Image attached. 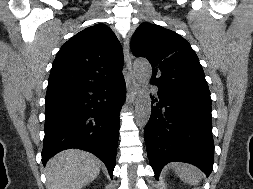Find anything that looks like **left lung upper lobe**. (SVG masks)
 Masks as SVG:
<instances>
[{"label":"left lung upper lobe","instance_id":"obj_1","mask_svg":"<svg viewBox=\"0 0 253 189\" xmlns=\"http://www.w3.org/2000/svg\"><path fill=\"white\" fill-rule=\"evenodd\" d=\"M131 50L135 56L147 58L152 65V84L211 105L199 59L179 34L145 22L135 31Z\"/></svg>","mask_w":253,"mask_h":189}]
</instances>
